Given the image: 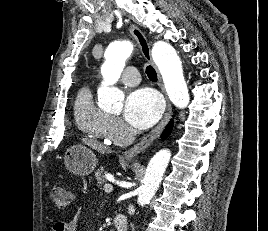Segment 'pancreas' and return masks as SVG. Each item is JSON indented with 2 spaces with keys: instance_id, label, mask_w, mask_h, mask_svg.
Listing matches in <instances>:
<instances>
[{
  "instance_id": "1",
  "label": "pancreas",
  "mask_w": 268,
  "mask_h": 231,
  "mask_svg": "<svg viewBox=\"0 0 268 231\" xmlns=\"http://www.w3.org/2000/svg\"><path fill=\"white\" fill-rule=\"evenodd\" d=\"M106 171L104 170L103 167L97 169L96 173H95V177H96V181L98 186L104 184L105 180H104V175H105Z\"/></svg>"
}]
</instances>
